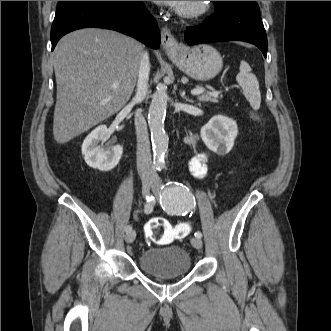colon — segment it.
<instances>
[{
  "label": "colon",
  "mask_w": 331,
  "mask_h": 331,
  "mask_svg": "<svg viewBox=\"0 0 331 331\" xmlns=\"http://www.w3.org/2000/svg\"><path fill=\"white\" fill-rule=\"evenodd\" d=\"M190 233V226L187 223H180L172 226L163 218L151 219L146 227V237L156 244H168L174 239H182Z\"/></svg>",
  "instance_id": "obj_1"
}]
</instances>
